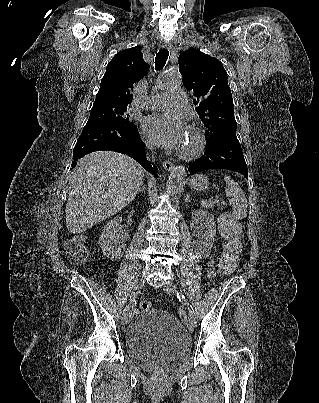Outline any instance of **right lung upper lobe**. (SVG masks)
Returning <instances> with one entry per match:
<instances>
[{
  "label": "right lung upper lobe",
  "mask_w": 319,
  "mask_h": 403,
  "mask_svg": "<svg viewBox=\"0 0 319 403\" xmlns=\"http://www.w3.org/2000/svg\"><path fill=\"white\" fill-rule=\"evenodd\" d=\"M140 47L120 51L107 65L95 102L129 105L136 83L148 73Z\"/></svg>",
  "instance_id": "1"
}]
</instances>
